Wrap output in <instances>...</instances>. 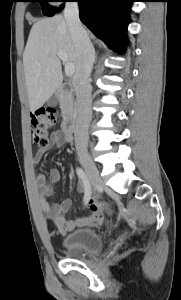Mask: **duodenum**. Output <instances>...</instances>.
Wrapping results in <instances>:
<instances>
[{
    "instance_id": "obj_1",
    "label": "duodenum",
    "mask_w": 181,
    "mask_h": 300,
    "mask_svg": "<svg viewBox=\"0 0 181 300\" xmlns=\"http://www.w3.org/2000/svg\"><path fill=\"white\" fill-rule=\"evenodd\" d=\"M72 88L71 83H64L57 90L56 96L60 97L64 93L68 92ZM82 118V110L80 108L74 109L64 120L63 129L68 134H73L78 126L80 119Z\"/></svg>"
}]
</instances>
